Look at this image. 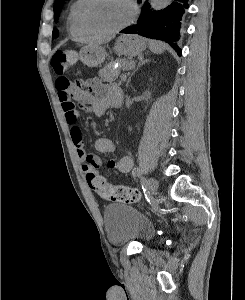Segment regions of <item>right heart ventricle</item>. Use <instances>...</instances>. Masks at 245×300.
I'll return each mask as SVG.
<instances>
[{
    "instance_id": "right-heart-ventricle-1",
    "label": "right heart ventricle",
    "mask_w": 245,
    "mask_h": 300,
    "mask_svg": "<svg viewBox=\"0 0 245 300\" xmlns=\"http://www.w3.org/2000/svg\"><path fill=\"white\" fill-rule=\"evenodd\" d=\"M83 3L84 0H74L69 8L67 24L70 33L73 35L84 36L89 34L82 28L78 19L79 10Z\"/></svg>"
}]
</instances>
